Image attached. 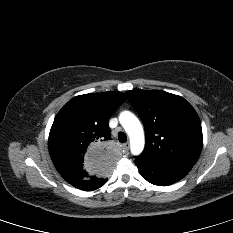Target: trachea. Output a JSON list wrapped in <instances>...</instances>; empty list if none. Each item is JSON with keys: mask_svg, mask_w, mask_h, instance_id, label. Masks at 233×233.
Wrapping results in <instances>:
<instances>
[{"mask_svg": "<svg viewBox=\"0 0 233 233\" xmlns=\"http://www.w3.org/2000/svg\"><path fill=\"white\" fill-rule=\"evenodd\" d=\"M118 140H119V142H121V143L126 142V141H127V136H126V134H125L124 132H119V134H118Z\"/></svg>", "mask_w": 233, "mask_h": 233, "instance_id": "trachea-1", "label": "trachea"}]
</instances>
